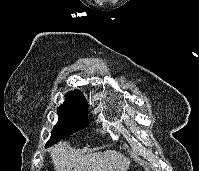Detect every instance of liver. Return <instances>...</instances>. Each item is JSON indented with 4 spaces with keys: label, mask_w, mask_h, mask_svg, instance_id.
<instances>
[{
    "label": "liver",
    "mask_w": 199,
    "mask_h": 171,
    "mask_svg": "<svg viewBox=\"0 0 199 171\" xmlns=\"http://www.w3.org/2000/svg\"><path fill=\"white\" fill-rule=\"evenodd\" d=\"M51 158L55 171H127L130 165V159L114 150L83 156L66 142L52 147Z\"/></svg>",
    "instance_id": "obj_1"
}]
</instances>
